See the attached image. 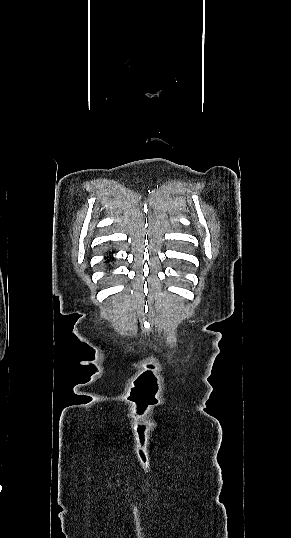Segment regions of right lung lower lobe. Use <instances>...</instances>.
Returning <instances> with one entry per match:
<instances>
[{
  "label": "right lung lower lobe",
  "instance_id": "1",
  "mask_svg": "<svg viewBox=\"0 0 291 538\" xmlns=\"http://www.w3.org/2000/svg\"><path fill=\"white\" fill-rule=\"evenodd\" d=\"M110 262V260H107L106 263Z\"/></svg>",
  "mask_w": 291,
  "mask_h": 538
}]
</instances>
